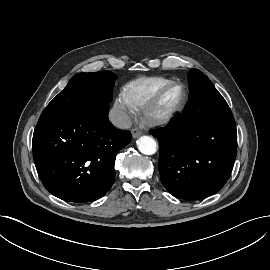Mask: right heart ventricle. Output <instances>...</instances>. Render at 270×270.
<instances>
[{
	"instance_id": "e07e8e85",
	"label": "right heart ventricle",
	"mask_w": 270,
	"mask_h": 270,
	"mask_svg": "<svg viewBox=\"0 0 270 270\" xmlns=\"http://www.w3.org/2000/svg\"><path fill=\"white\" fill-rule=\"evenodd\" d=\"M171 80L164 77H142L124 86V95L135 110H141Z\"/></svg>"
}]
</instances>
